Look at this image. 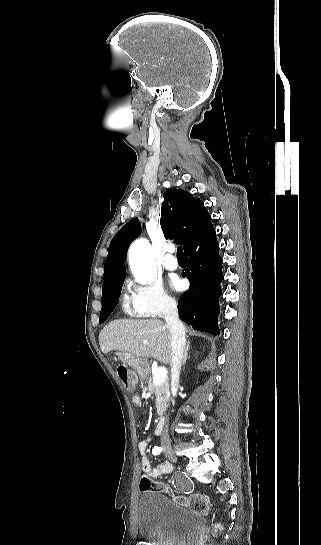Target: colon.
<instances>
[{
    "label": "colon",
    "mask_w": 321,
    "mask_h": 545,
    "mask_svg": "<svg viewBox=\"0 0 321 545\" xmlns=\"http://www.w3.org/2000/svg\"><path fill=\"white\" fill-rule=\"evenodd\" d=\"M117 374L121 379L122 383L127 389H133L135 386V377L132 371L124 365H120L117 368ZM140 490L143 492L147 491H161L169 492V488L161 483L154 481L148 474H144L140 480ZM177 502L180 504L186 505L189 508L206 514L211 508L210 499L204 494H192L188 497H176ZM220 529L219 525H216L214 531L217 532Z\"/></svg>",
    "instance_id": "5ec220e1"
}]
</instances>
